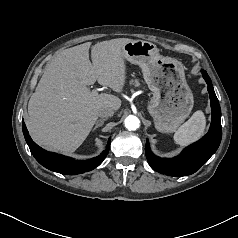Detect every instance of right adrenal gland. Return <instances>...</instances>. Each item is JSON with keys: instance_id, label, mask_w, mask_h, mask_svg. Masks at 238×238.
I'll list each match as a JSON object with an SVG mask.
<instances>
[{"instance_id": "right-adrenal-gland-1", "label": "right adrenal gland", "mask_w": 238, "mask_h": 238, "mask_svg": "<svg viewBox=\"0 0 238 238\" xmlns=\"http://www.w3.org/2000/svg\"><path fill=\"white\" fill-rule=\"evenodd\" d=\"M106 120H107V118L99 119L96 122V124H95V126L93 128V131H95L98 127H101L104 124V121H106Z\"/></svg>"}]
</instances>
